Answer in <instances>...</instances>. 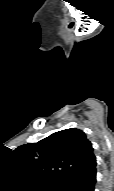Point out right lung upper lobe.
Returning <instances> with one entry per match:
<instances>
[{
	"label": "right lung upper lobe",
	"instance_id": "1",
	"mask_svg": "<svg viewBox=\"0 0 114 191\" xmlns=\"http://www.w3.org/2000/svg\"><path fill=\"white\" fill-rule=\"evenodd\" d=\"M15 152L33 177L50 189L96 169L91 142L76 128L55 132L37 143L21 145Z\"/></svg>",
	"mask_w": 114,
	"mask_h": 191
}]
</instances>
